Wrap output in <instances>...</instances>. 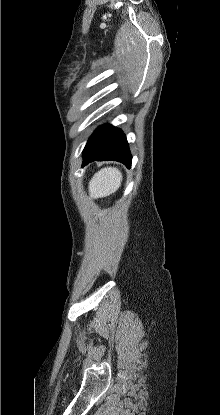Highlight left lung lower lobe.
Returning <instances> with one entry per match:
<instances>
[{"label":"left lung lower lobe","instance_id":"obj_1","mask_svg":"<svg viewBox=\"0 0 220 415\" xmlns=\"http://www.w3.org/2000/svg\"><path fill=\"white\" fill-rule=\"evenodd\" d=\"M95 160H114L130 168L132 156L126 137L120 129L111 125L96 129L84 148L82 166Z\"/></svg>","mask_w":220,"mask_h":415}]
</instances>
